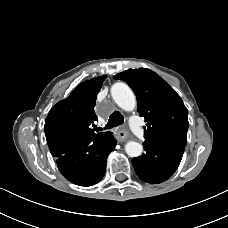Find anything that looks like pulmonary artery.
Wrapping results in <instances>:
<instances>
[{
	"instance_id": "pulmonary-artery-1",
	"label": "pulmonary artery",
	"mask_w": 228,
	"mask_h": 228,
	"mask_svg": "<svg viewBox=\"0 0 228 228\" xmlns=\"http://www.w3.org/2000/svg\"><path fill=\"white\" fill-rule=\"evenodd\" d=\"M130 125L133 130V132L138 136V137H143V129L140 126V123L138 121L137 117H132L130 119Z\"/></svg>"
}]
</instances>
